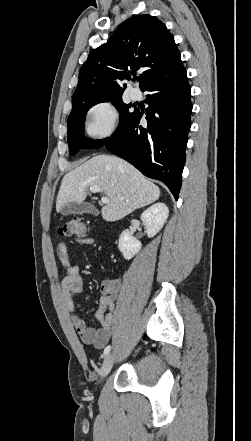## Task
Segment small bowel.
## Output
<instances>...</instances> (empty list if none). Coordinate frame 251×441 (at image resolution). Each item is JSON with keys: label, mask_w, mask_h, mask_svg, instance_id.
I'll return each instance as SVG.
<instances>
[{"label": "small bowel", "mask_w": 251, "mask_h": 441, "mask_svg": "<svg viewBox=\"0 0 251 441\" xmlns=\"http://www.w3.org/2000/svg\"><path fill=\"white\" fill-rule=\"evenodd\" d=\"M77 242L83 246L94 244L91 238H80ZM57 256L64 267L60 286L73 327L84 344L101 349L108 344L115 328L114 310L115 301L120 290V281L118 279H106L101 283V297L95 313L96 319L100 322V327L87 326L85 321L78 315L75 304L76 298L84 291L82 270L79 265L70 262L66 244H58Z\"/></svg>", "instance_id": "small-bowel-1"}]
</instances>
